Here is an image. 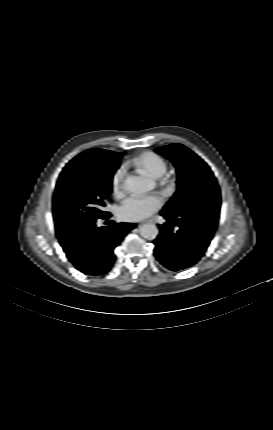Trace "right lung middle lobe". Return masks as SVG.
<instances>
[{
  "label": "right lung middle lobe",
  "mask_w": 273,
  "mask_h": 430,
  "mask_svg": "<svg viewBox=\"0 0 273 430\" xmlns=\"http://www.w3.org/2000/svg\"><path fill=\"white\" fill-rule=\"evenodd\" d=\"M118 167V162L96 161L81 155L66 165L53 196L55 230L59 240L109 215L104 211L105 201L112 192V178Z\"/></svg>",
  "instance_id": "obj_1"
}]
</instances>
